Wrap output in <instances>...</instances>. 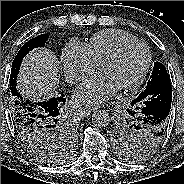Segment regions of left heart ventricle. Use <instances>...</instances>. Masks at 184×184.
Returning a JSON list of instances; mask_svg holds the SVG:
<instances>
[{
  "label": "left heart ventricle",
  "instance_id": "b2bd125f",
  "mask_svg": "<svg viewBox=\"0 0 184 184\" xmlns=\"http://www.w3.org/2000/svg\"><path fill=\"white\" fill-rule=\"evenodd\" d=\"M146 61V52L140 46L126 49L115 61L105 64L100 73L108 76L119 89L133 81Z\"/></svg>",
  "mask_w": 184,
  "mask_h": 184
}]
</instances>
